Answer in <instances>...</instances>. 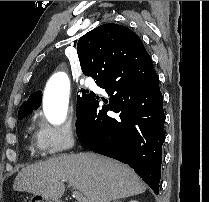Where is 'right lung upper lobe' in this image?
<instances>
[{"instance_id":"obj_1","label":"right lung upper lobe","mask_w":209,"mask_h":202,"mask_svg":"<svg viewBox=\"0 0 209 202\" xmlns=\"http://www.w3.org/2000/svg\"><path fill=\"white\" fill-rule=\"evenodd\" d=\"M77 53L86 76H92L98 85L110 79L117 86H123L130 75L143 73L141 59L149 56L132 30L114 23L103 24L83 35ZM41 101L42 92H34L20 109L39 107Z\"/></svg>"}]
</instances>
